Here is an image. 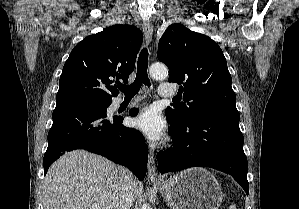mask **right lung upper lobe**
<instances>
[{"instance_id": "1", "label": "right lung upper lobe", "mask_w": 299, "mask_h": 209, "mask_svg": "<svg viewBox=\"0 0 299 209\" xmlns=\"http://www.w3.org/2000/svg\"><path fill=\"white\" fill-rule=\"evenodd\" d=\"M142 41L139 29L121 24L83 39L64 64L56 104L111 102L118 95L113 82H128Z\"/></svg>"}]
</instances>
